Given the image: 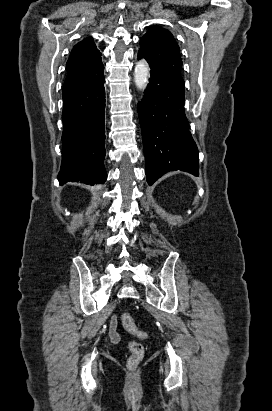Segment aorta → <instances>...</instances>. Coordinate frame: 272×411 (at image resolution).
Masks as SVG:
<instances>
[{
    "label": "aorta",
    "instance_id": "1",
    "mask_svg": "<svg viewBox=\"0 0 272 411\" xmlns=\"http://www.w3.org/2000/svg\"><path fill=\"white\" fill-rule=\"evenodd\" d=\"M148 77H149L148 64L144 60L137 62L135 69H134V82H135L136 87L139 90H144L146 88Z\"/></svg>",
    "mask_w": 272,
    "mask_h": 411
}]
</instances>
